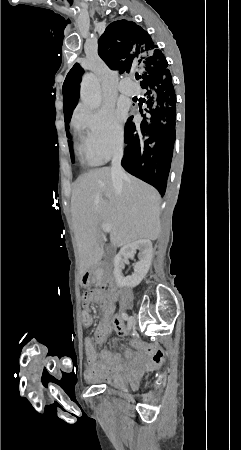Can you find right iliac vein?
<instances>
[{"label":"right iliac vein","mask_w":241,"mask_h":450,"mask_svg":"<svg viewBox=\"0 0 241 450\" xmlns=\"http://www.w3.org/2000/svg\"><path fill=\"white\" fill-rule=\"evenodd\" d=\"M135 325V319L133 317H130L128 319V329L131 330Z\"/></svg>","instance_id":"1"}]
</instances>
